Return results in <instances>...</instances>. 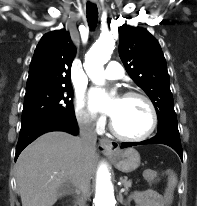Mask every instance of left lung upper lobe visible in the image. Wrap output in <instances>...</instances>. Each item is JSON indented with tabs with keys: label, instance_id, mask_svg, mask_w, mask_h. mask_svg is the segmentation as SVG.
<instances>
[{
	"label": "left lung upper lobe",
	"instance_id": "1",
	"mask_svg": "<svg viewBox=\"0 0 197 206\" xmlns=\"http://www.w3.org/2000/svg\"><path fill=\"white\" fill-rule=\"evenodd\" d=\"M119 55L127 73L153 102L158 132H179L166 60L158 41L146 29L124 24L119 28Z\"/></svg>",
	"mask_w": 197,
	"mask_h": 206
}]
</instances>
